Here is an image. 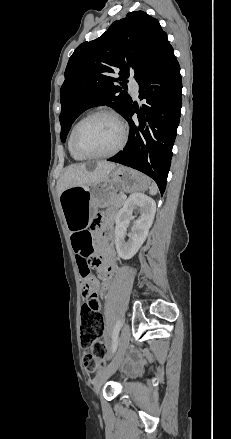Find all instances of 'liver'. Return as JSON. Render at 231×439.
<instances>
[{
	"mask_svg": "<svg viewBox=\"0 0 231 439\" xmlns=\"http://www.w3.org/2000/svg\"><path fill=\"white\" fill-rule=\"evenodd\" d=\"M116 165L114 163L101 161L97 162L93 171H88L86 164H72L68 166L57 183L58 195L74 186H89L102 180L109 174Z\"/></svg>",
	"mask_w": 231,
	"mask_h": 439,
	"instance_id": "1",
	"label": "liver"
}]
</instances>
